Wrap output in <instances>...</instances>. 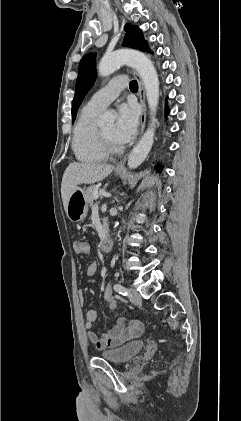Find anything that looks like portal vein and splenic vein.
Wrapping results in <instances>:
<instances>
[{
    "instance_id": "1",
    "label": "portal vein and splenic vein",
    "mask_w": 241,
    "mask_h": 421,
    "mask_svg": "<svg viewBox=\"0 0 241 421\" xmlns=\"http://www.w3.org/2000/svg\"><path fill=\"white\" fill-rule=\"evenodd\" d=\"M98 197H99L98 192H95V193H94V199H95V200H97V199H98ZM94 207H98V203H96V204L94 205Z\"/></svg>"
}]
</instances>
